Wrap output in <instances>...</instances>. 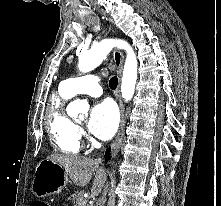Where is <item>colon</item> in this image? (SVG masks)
<instances>
[{
    "label": "colon",
    "instance_id": "5ec220e1",
    "mask_svg": "<svg viewBox=\"0 0 221 206\" xmlns=\"http://www.w3.org/2000/svg\"><path fill=\"white\" fill-rule=\"evenodd\" d=\"M30 206H49L46 202H43V201H34L31 203Z\"/></svg>",
    "mask_w": 221,
    "mask_h": 206
}]
</instances>
